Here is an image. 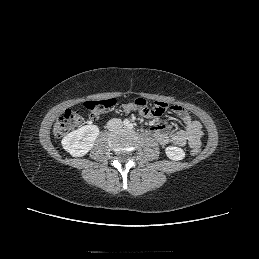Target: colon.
I'll use <instances>...</instances> for the list:
<instances>
[{
    "mask_svg": "<svg viewBox=\"0 0 259 259\" xmlns=\"http://www.w3.org/2000/svg\"><path fill=\"white\" fill-rule=\"evenodd\" d=\"M116 104L115 99L94 100L88 101L84 104L85 108L89 112L91 119L96 120L106 114ZM168 105L162 102H155L152 106L147 103L143 98H138L131 103L123 105L125 112L136 110L144 116L148 117H160L164 114ZM83 124V118L79 112L74 110H66L57 120L54 127V135L57 138H62L70 131L80 127ZM198 148L191 150L192 156L199 154Z\"/></svg>",
    "mask_w": 259,
    "mask_h": 259,
    "instance_id": "colon-1",
    "label": "colon"
}]
</instances>
